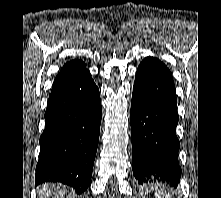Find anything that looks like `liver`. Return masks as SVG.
<instances>
[{
    "label": "liver",
    "instance_id": "liver-1",
    "mask_svg": "<svg viewBox=\"0 0 221 198\" xmlns=\"http://www.w3.org/2000/svg\"><path fill=\"white\" fill-rule=\"evenodd\" d=\"M67 186L56 183H44L38 189V198H65Z\"/></svg>",
    "mask_w": 221,
    "mask_h": 198
}]
</instances>
